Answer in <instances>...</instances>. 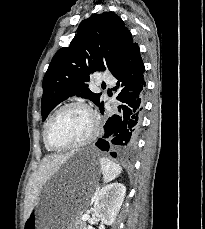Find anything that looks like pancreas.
Instances as JSON below:
<instances>
[{
	"label": "pancreas",
	"mask_w": 205,
	"mask_h": 229,
	"mask_svg": "<svg viewBox=\"0 0 205 229\" xmlns=\"http://www.w3.org/2000/svg\"><path fill=\"white\" fill-rule=\"evenodd\" d=\"M75 229H86V224L85 222L81 221L78 219L75 223Z\"/></svg>",
	"instance_id": "1"
}]
</instances>
